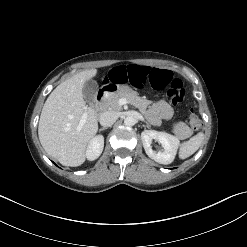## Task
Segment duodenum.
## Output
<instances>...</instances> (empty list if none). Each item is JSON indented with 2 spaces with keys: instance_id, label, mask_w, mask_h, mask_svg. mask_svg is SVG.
Returning <instances> with one entry per match:
<instances>
[{
  "instance_id": "410a0bca",
  "label": "duodenum",
  "mask_w": 247,
  "mask_h": 247,
  "mask_svg": "<svg viewBox=\"0 0 247 247\" xmlns=\"http://www.w3.org/2000/svg\"><path fill=\"white\" fill-rule=\"evenodd\" d=\"M112 91H114V90H108V89H106V88H104V87H103L102 89L99 90V92H98V94H97V96H96V109H97L98 111H101V110L103 109L102 101H103L104 97H105L108 93H110V92H112Z\"/></svg>"
}]
</instances>
